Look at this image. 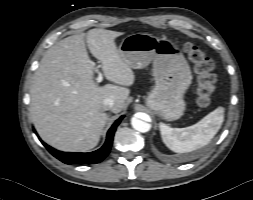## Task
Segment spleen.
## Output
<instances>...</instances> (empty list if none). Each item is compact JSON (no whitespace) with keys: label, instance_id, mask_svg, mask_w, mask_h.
Wrapping results in <instances>:
<instances>
[{"label":"spleen","instance_id":"spleen-1","mask_svg":"<svg viewBox=\"0 0 253 200\" xmlns=\"http://www.w3.org/2000/svg\"><path fill=\"white\" fill-rule=\"evenodd\" d=\"M224 121V108L218 107L196 124L173 129L160 123L159 128L165 145L177 153L191 152L207 145L217 134Z\"/></svg>","mask_w":253,"mask_h":200}]
</instances>
